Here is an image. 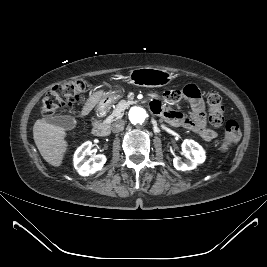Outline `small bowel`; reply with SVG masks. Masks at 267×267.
I'll list each match as a JSON object with an SVG mask.
<instances>
[{"label":"small bowel","mask_w":267,"mask_h":267,"mask_svg":"<svg viewBox=\"0 0 267 267\" xmlns=\"http://www.w3.org/2000/svg\"><path fill=\"white\" fill-rule=\"evenodd\" d=\"M182 100L188 102L191 107V115L189 117L172 108V104ZM150 108L171 125L189 129L205 141H212L217 137V132L208 126L205 104L200 90L194 84H187L181 89L166 91L164 100L154 99L150 103Z\"/></svg>","instance_id":"obj_1"}]
</instances>
